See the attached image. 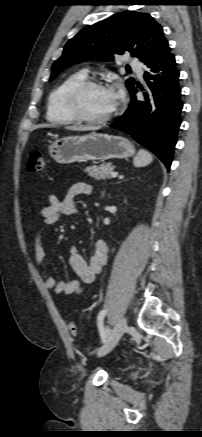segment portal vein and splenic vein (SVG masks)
Listing matches in <instances>:
<instances>
[{
    "mask_svg": "<svg viewBox=\"0 0 202 437\" xmlns=\"http://www.w3.org/2000/svg\"><path fill=\"white\" fill-rule=\"evenodd\" d=\"M111 176H112L113 178H115V177L118 176V173H117V172H112V173H111Z\"/></svg>",
    "mask_w": 202,
    "mask_h": 437,
    "instance_id": "portal-vein-and-splenic-vein-1",
    "label": "portal vein and splenic vein"
}]
</instances>
